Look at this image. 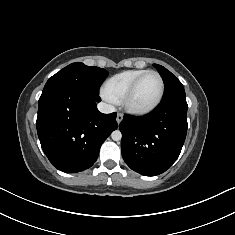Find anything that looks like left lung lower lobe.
<instances>
[{
  "label": "left lung lower lobe",
  "mask_w": 235,
  "mask_h": 235,
  "mask_svg": "<svg viewBox=\"0 0 235 235\" xmlns=\"http://www.w3.org/2000/svg\"><path fill=\"white\" fill-rule=\"evenodd\" d=\"M187 102L175 97L158 105L151 113L125 115L119 125L121 150L134 171L155 176L165 172L178 158L187 134Z\"/></svg>",
  "instance_id": "left-lung-lower-lobe-1"
}]
</instances>
